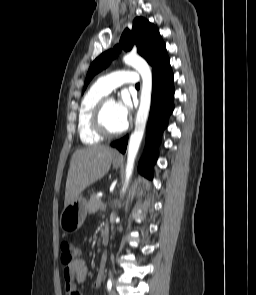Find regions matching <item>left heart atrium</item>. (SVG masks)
I'll return each instance as SVG.
<instances>
[{"mask_svg": "<svg viewBox=\"0 0 256 295\" xmlns=\"http://www.w3.org/2000/svg\"><path fill=\"white\" fill-rule=\"evenodd\" d=\"M115 108L118 118L124 125H126L131 112V101L126 93H124L120 100L116 102Z\"/></svg>", "mask_w": 256, "mask_h": 295, "instance_id": "39dd6f15", "label": "left heart atrium"}]
</instances>
